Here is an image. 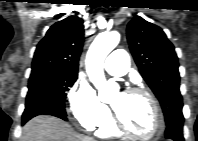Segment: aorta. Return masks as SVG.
I'll return each instance as SVG.
<instances>
[{"instance_id":"762f6f07","label":"aorta","mask_w":198,"mask_h":141,"mask_svg":"<svg viewBox=\"0 0 198 141\" xmlns=\"http://www.w3.org/2000/svg\"><path fill=\"white\" fill-rule=\"evenodd\" d=\"M120 34L117 31L100 33L89 47L86 55V69L90 81L98 90V98L103 102L111 100L117 92L115 82L107 81L103 64L107 55L118 45Z\"/></svg>"}]
</instances>
